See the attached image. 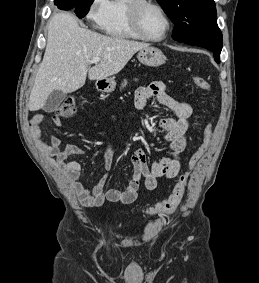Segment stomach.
<instances>
[{
  "instance_id": "stomach-1",
  "label": "stomach",
  "mask_w": 259,
  "mask_h": 283,
  "mask_svg": "<svg viewBox=\"0 0 259 283\" xmlns=\"http://www.w3.org/2000/svg\"><path fill=\"white\" fill-rule=\"evenodd\" d=\"M137 58L140 63L150 66L157 67L165 63L166 57L162 51L156 47L148 46L139 50ZM116 87V82L114 79H103L96 82V88L102 92H112Z\"/></svg>"
}]
</instances>
